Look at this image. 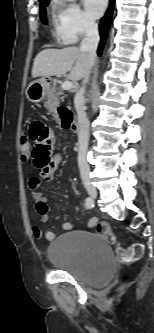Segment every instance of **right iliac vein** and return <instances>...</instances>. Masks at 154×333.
Here are the masks:
<instances>
[{
    "label": "right iliac vein",
    "instance_id": "63e3f726",
    "mask_svg": "<svg viewBox=\"0 0 154 333\" xmlns=\"http://www.w3.org/2000/svg\"><path fill=\"white\" fill-rule=\"evenodd\" d=\"M83 184L85 186V189L87 191V193L89 194V196L92 199H96L97 197V190L96 188L92 185L90 179L88 177H84L83 178Z\"/></svg>",
    "mask_w": 154,
    "mask_h": 333
}]
</instances>
